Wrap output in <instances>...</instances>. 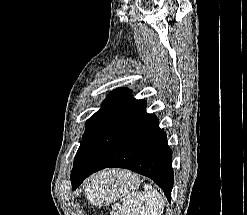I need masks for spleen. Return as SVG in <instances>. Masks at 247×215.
Listing matches in <instances>:
<instances>
[{
  "instance_id": "1",
  "label": "spleen",
  "mask_w": 247,
  "mask_h": 215,
  "mask_svg": "<svg viewBox=\"0 0 247 215\" xmlns=\"http://www.w3.org/2000/svg\"><path fill=\"white\" fill-rule=\"evenodd\" d=\"M131 190L125 191L122 205L113 206L111 215H162L165 199L153 186L146 184L143 192Z\"/></svg>"
}]
</instances>
